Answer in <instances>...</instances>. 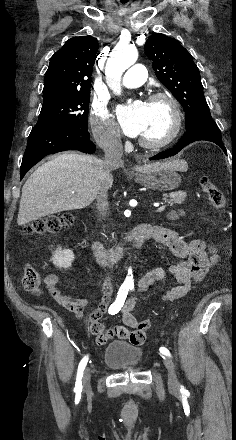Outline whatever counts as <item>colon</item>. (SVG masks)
<instances>
[{
	"label": "colon",
	"instance_id": "1",
	"mask_svg": "<svg viewBox=\"0 0 236 440\" xmlns=\"http://www.w3.org/2000/svg\"><path fill=\"white\" fill-rule=\"evenodd\" d=\"M200 185L204 194L208 197L213 207L217 210L224 208L225 197L223 192L218 188V186L211 181L207 176H203L200 179ZM74 222V215L72 213H58L52 214L47 217L37 219L31 224L25 227V232L29 235L43 236L48 234H55ZM23 287L32 292L38 293L41 286V278L39 273L32 267H26L24 269L22 277ZM150 327V320L144 319L140 322L137 330H142L145 333L142 339H129L131 342H136L139 340H144L147 331Z\"/></svg>",
	"mask_w": 236,
	"mask_h": 440
}]
</instances>
